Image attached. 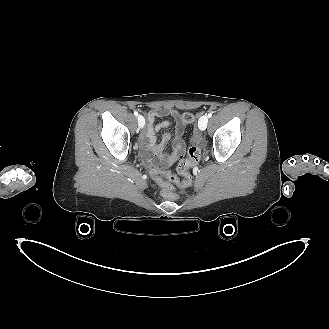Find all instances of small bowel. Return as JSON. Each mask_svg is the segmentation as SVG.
<instances>
[{
  "label": "small bowel",
  "mask_w": 329,
  "mask_h": 329,
  "mask_svg": "<svg viewBox=\"0 0 329 329\" xmlns=\"http://www.w3.org/2000/svg\"><path fill=\"white\" fill-rule=\"evenodd\" d=\"M169 116L171 120H164L156 123V119ZM147 125L141 136V146L144 150L145 159L154 165L166 167L174 163L184 154L185 144L182 139L184 128L180 121L179 111L176 109L166 110L164 108H155L146 114ZM174 125V137L171 152L166 151L171 135L166 133L161 141L157 143L156 133L162 128Z\"/></svg>",
  "instance_id": "obj_1"
}]
</instances>
